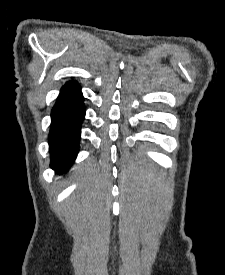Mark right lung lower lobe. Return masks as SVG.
Instances as JSON below:
<instances>
[{"mask_svg":"<svg viewBox=\"0 0 225 275\" xmlns=\"http://www.w3.org/2000/svg\"><path fill=\"white\" fill-rule=\"evenodd\" d=\"M84 98L77 82H67L61 88L51 112L49 132L50 166L56 173H67L75 160L85 117Z\"/></svg>","mask_w":225,"mask_h":275,"instance_id":"98d812e1","label":"right lung lower lobe"}]
</instances>
